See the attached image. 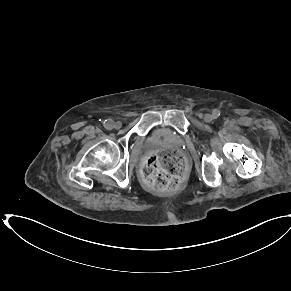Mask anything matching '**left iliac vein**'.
Instances as JSON below:
<instances>
[{
  "label": "left iliac vein",
  "mask_w": 291,
  "mask_h": 291,
  "mask_svg": "<svg viewBox=\"0 0 291 291\" xmlns=\"http://www.w3.org/2000/svg\"><path fill=\"white\" fill-rule=\"evenodd\" d=\"M213 120V116L210 115V114H206L204 116V121L207 122V123H210L211 121Z\"/></svg>",
  "instance_id": "4c4485c4"
}]
</instances>
